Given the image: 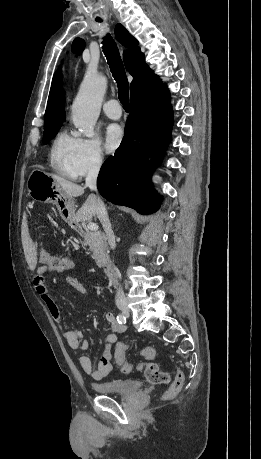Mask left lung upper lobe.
Listing matches in <instances>:
<instances>
[{
	"mask_svg": "<svg viewBox=\"0 0 261 459\" xmlns=\"http://www.w3.org/2000/svg\"><path fill=\"white\" fill-rule=\"evenodd\" d=\"M72 51L75 54H80L82 52V50H81V39L77 38V39H75L73 41Z\"/></svg>",
	"mask_w": 261,
	"mask_h": 459,
	"instance_id": "left-lung-upper-lobe-1",
	"label": "left lung upper lobe"
}]
</instances>
